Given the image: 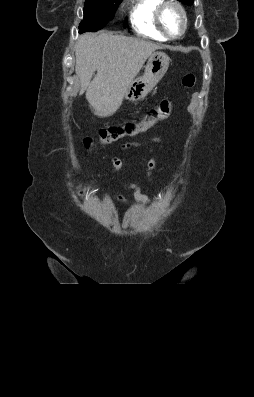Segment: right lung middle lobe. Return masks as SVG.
<instances>
[{
	"label": "right lung middle lobe",
	"mask_w": 254,
	"mask_h": 397,
	"mask_svg": "<svg viewBox=\"0 0 254 397\" xmlns=\"http://www.w3.org/2000/svg\"><path fill=\"white\" fill-rule=\"evenodd\" d=\"M121 2L122 0H86L84 19L79 25V33L102 29L108 21L113 19Z\"/></svg>",
	"instance_id": "dd1d6c3e"
}]
</instances>
